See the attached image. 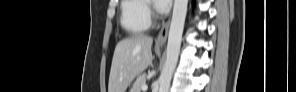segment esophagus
Returning a JSON list of instances; mask_svg holds the SVG:
<instances>
[{
	"label": "esophagus",
	"mask_w": 296,
	"mask_h": 92,
	"mask_svg": "<svg viewBox=\"0 0 296 92\" xmlns=\"http://www.w3.org/2000/svg\"><path fill=\"white\" fill-rule=\"evenodd\" d=\"M169 25H170V19L167 20L166 23L162 26L158 37L156 39V44L157 45H162L166 42L167 36H168V30H169Z\"/></svg>",
	"instance_id": "34e87169"
}]
</instances>
